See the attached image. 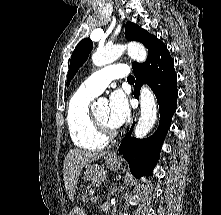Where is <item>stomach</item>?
<instances>
[{
    "mask_svg": "<svg viewBox=\"0 0 221 215\" xmlns=\"http://www.w3.org/2000/svg\"><path fill=\"white\" fill-rule=\"evenodd\" d=\"M105 164L110 170L120 169L122 162L116 156L108 155L105 158ZM107 171L105 168L99 164H89L86 166L85 175L92 182H102L106 179ZM69 215H85L82 208L75 207Z\"/></svg>",
    "mask_w": 221,
    "mask_h": 215,
    "instance_id": "stomach-1",
    "label": "stomach"
}]
</instances>
